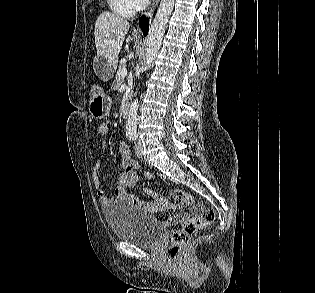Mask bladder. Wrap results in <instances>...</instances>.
Segmentation results:
<instances>
[{
  "label": "bladder",
  "mask_w": 315,
  "mask_h": 293,
  "mask_svg": "<svg viewBox=\"0 0 315 293\" xmlns=\"http://www.w3.org/2000/svg\"><path fill=\"white\" fill-rule=\"evenodd\" d=\"M105 220L115 238L139 247H152L161 238L158 223L143 209L116 202L104 210Z\"/></svg>",
  "instance_id": "31cf9c89"
}]
</instances>
